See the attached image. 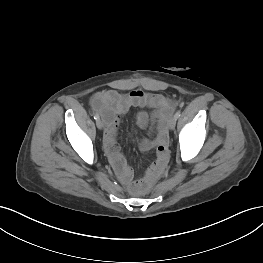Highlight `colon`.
Masks as SVG:
<instances>
[{
    "mask_svg": "<svg viewBox=\"0 0 263 263\" xmlns=\"http://www.w3.org/2000/svg\"><path fill=\"white\" fill-rule=\"evenodd\" d=\"M143 186H144V181H139V182H137V183L135 184L134 190H137V189H139V188H141V187H143Z\"/></svg>",
    "mask_w": 263,
    "mask_h": 263,
    "instance_id": "colon-1",
    "label": "colon"
}]
</instances>
